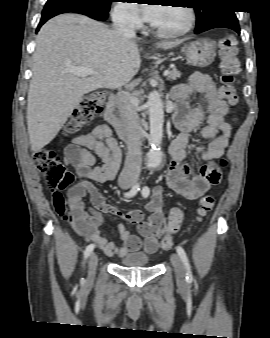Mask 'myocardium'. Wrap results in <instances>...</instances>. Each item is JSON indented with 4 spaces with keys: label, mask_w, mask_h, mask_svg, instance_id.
<instances>
[{
    "label": "myocardium",
    "mask_w": 270,
    "mask_h": 338,
    "mask_svg": "<svg viewBox=\"0 0 270 338\" xmlns=\"http://www.w3.org/2000/svg\"><path fill=\"white\" fill-rule=\"evenodd\" d=\"M182 8L187 13V22L182 28L175 30V31H163V30L157 29L153 24H151L150 25L151 30L156 35L162 38H176V37H181V36L186 35L193 28L195 24V20H196V15H195L193 8L190 7L189 5L184 4Z\"/></svg>",
    "instance_id": "1"
}]
</instances>
